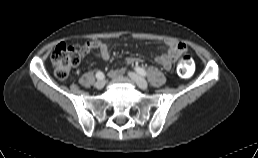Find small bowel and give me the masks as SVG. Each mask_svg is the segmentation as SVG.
<instances>
[{
    "mask_svg": "<svg viewBox=\"0 0 258 158\" xmlns=\"http://www.w3.org/2000/svg\"><path fill=\"white\" fill-rule=\"evenodd\" d=\"M89 47V50H94L96 56L101 57L104 60H108L111 57V49L108 43L101 41H90L85 44ZM166 51L158 54L155 57V61L161 65L164 69L170 70L174 61L186 50V45L178 42L174 39L165 40ZM142 61L139 57H129L126 59L128 64H137ZM122 71L114 70L112 75H119Z\"/></svg>",
    "mask_w": 258,
    "mask_h": 158,
    "instance_id": "c3829d8e",
    "label": "small bowel"
}]
</instances>
